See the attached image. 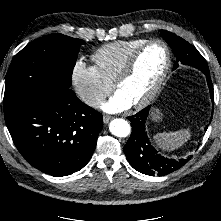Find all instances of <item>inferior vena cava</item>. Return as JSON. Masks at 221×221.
I'll return each mask as SVG.
<instances>
[{
  "mask_svg": "<svg viewBox=\"0 0 221 221\" xmlns=\"http://www.w3.org/2000/svg\"><path fill=\"white\" fill-rule=\"evenodd\" d=\"M81 99L87 105H95L100 99V96L95 92H85L81 95Z\"/></svg>",
  "mask_w": 221,
  "mask_h": 221,
  "instance_id": "1",
  "label": "inferior vena cava"
}]
</instances>
